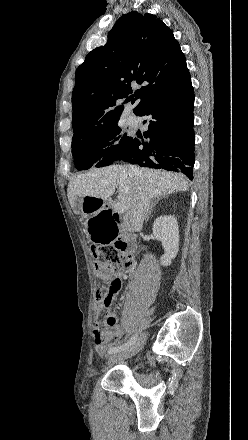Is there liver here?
<instances>
[{
    "label": "liver",
    "mask_w": 248,
    "mask_h": 440,
    "mask_svg": "<svg viewBox=\"0 0 248 440\" xmlns=\"http://www.w3.org/2000/svg\"><path fill=\"white\" fill-rule=\"evenodd\" d=\"M141 172V181L150 198L160 195H170L174 192L187 191V180L179 174L138 168ZM118 187V199L128 210L135 199L139 187V180L131 176L128 167L123 165H111L109 167L91 169L72 179L67 188V196L72 209L76 208V202L82 197H95L107 199Z\"/></svg>",
    "instance_id": "1"
}]
</instances>
